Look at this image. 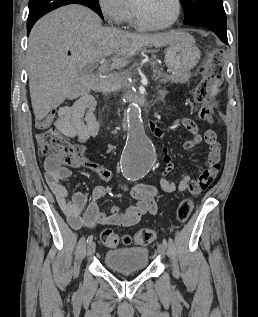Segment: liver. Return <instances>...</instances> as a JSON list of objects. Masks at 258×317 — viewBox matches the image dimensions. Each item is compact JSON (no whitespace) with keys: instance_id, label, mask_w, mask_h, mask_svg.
<instances>
[{"instance_id":"obj_1","label":"liver","mask_w":258,"mask_h":317,"mask_svg":"<svg viewBox=\"0 0 258 317\" xmlns=\"http://www.w3.org/2000/svg\"><path fill=\"white\" fill-rule=\"evenodd\" d=\"M181 36L182 30L143 34L102 26L100 16L82 4H67L45 14L34 24L26 52L36 124L65 98H75L83 82L92 80V74L80 72L82 66L115 54L111 66L120 68L143 46H165Z\"/></svg>"}]
</instances>
